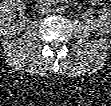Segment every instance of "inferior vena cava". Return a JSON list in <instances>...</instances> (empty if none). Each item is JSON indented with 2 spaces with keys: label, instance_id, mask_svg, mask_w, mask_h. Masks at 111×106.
<instances>
[{
  "label": "inferior vena cava",
  "instance_id": "602c4592",
  "mask_svg": "<svg viewBox=\"0 0 111 106\" xmlns=\"http://www.w3.org/2000/svg\"><path fill=\"white\" fill-rule=\"evenodd\" d=\"M51 11V8L48 4L43 3L38 7V13L41 15L48 14Z\"/></svg>",
  "mask_w": 111,
  "mask_h": 106
}]
</instances>
